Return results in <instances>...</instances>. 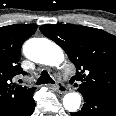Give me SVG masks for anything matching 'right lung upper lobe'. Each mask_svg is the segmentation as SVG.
Masks as SVG:
<instances>
[{
	"instance_id": "cb5924a9",
	"label": "right lung upper lobe",
	"mask_w": 116,
	"mask_h": 116,
	"mask_svg": "<svg viewBox=\"0 0 116 116\" xmlns=\"http://www.w3.org/2000/svg\"><path fill=\"white\" fill-rule=\"evenodd\" d=\"M36 25L0 27V116H17L32 100L35 88L12 84L16 75L27 74L19 64L23 43Z\"/></svg>"
}]
</instances>
